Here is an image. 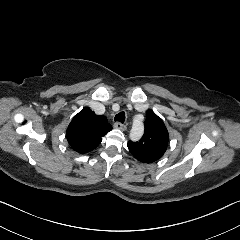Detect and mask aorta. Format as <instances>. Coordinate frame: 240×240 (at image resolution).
<instances>
[{
	"mask_svg": "<svg viewBox=\"0 0 240 240\" xmlns=\"http://www.w3.org/2000/svg\"><path fill=\"white\" fill-rule=\"evenodd\" d=\"M143 134V126L139 121H135L132 127L131 136L133 139L137 140Z\"/></svg>",
	"mask_w": 240,
	"mask_h": 240,
	"instance_id": "1",
	"label": "aorta"
}]
</instances>
